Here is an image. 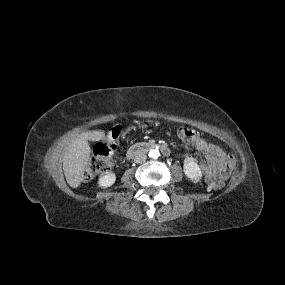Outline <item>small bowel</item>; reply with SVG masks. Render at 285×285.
Masks as SVG:
<instances>
[{"instance_id":"obj_1","label":"small bowel","mask_w":285,"mask_h":285,"mask_svg":"<svg viewBox=\"0 0 285 285\" xmlns=\"http://www.w3.org/2000/svg\"><path fill=\"white\" fill-rule=\"evenodd\" d=\"M195 147L206 157L203 170L209 179H226L233 169V162L217 145L199 137Z\"/></svg>"}]
</instances>
